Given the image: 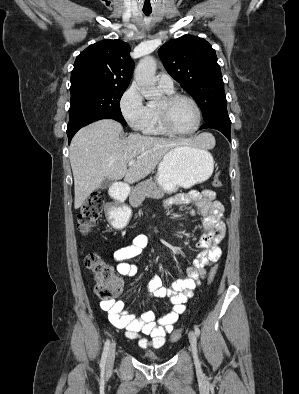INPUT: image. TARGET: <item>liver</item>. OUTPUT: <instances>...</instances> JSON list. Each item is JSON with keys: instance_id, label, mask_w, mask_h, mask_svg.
Instances as JSON below:
<instances>
[{"instance_id": "liver-1", "label": "liver", "mask_w": 299, "mask_h": 394, "mask_svg": "<svg viewBox=\"0 0 299 394\" xmlns=\"http://www.w3.org/2000/svg\"><path fill=\"white\" fill-rule=\"evenodd\" d=\"M123 128L112 119L96 121L80 129L73 137L69 159L74 177V207L82 206L105 178L134 183L149 175L173 148L192 143L184 139H165L138 133L120 139ZM207 134L194 143L207 144ZM135 163L127 169L130 160Z\"/></svg>"}]
</instances>
